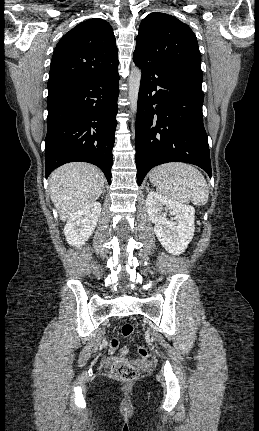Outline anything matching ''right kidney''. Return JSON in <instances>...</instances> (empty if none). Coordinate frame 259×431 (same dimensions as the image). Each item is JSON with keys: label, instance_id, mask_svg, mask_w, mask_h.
Listing matches in <instances>:
<instances>
[{"label": "right kidney", "instance_id": "obj_1", "mask_svg": "<svg viewBox=\"0 0 259 431\" xmlns=\"http://www.w3.org/2000/svg\"><path fill=\"white\" fill-rule=\"evenodd\" d=\"M100 213L101 204L93 202L71 216L64 227L67 242L72 246H82L95 230Z\"/></svg>", "mask_w": 259, "mask_h": 431}]
</instances>
